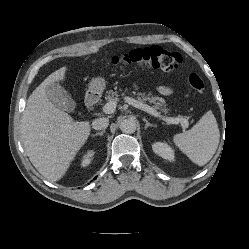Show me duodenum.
I'll use <instances>...</instances> for the list:
<instances>
[{"instance_id": "duodenum-1", "label": "duodenum", "mask_w": 249, "mask_h": 249, "mask_svg": "<svg viewBox=\"0 0 249 249\" xmlns=\"http://www.w3.org/2000/svg\"><path fill=\"white\" fill-rule=\"evenodd\" d=\"M97 99H98V93L94 90L89 91L85 98L86 107L88 108L92 107L97 102Z\"/></svg>"}]
</instances>
